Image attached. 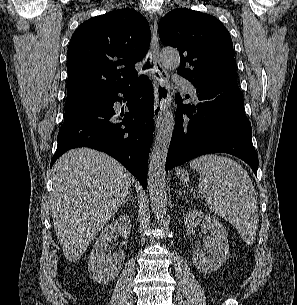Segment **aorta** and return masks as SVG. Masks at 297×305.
Segmentation results:
<instances>
[{
    "mask_svg": "<svg viewBox=\"0 0 297 305\" xmlns=\"http://www.w3.org/2000/svg\"><path fill=\"white\" fill-rule=\"evenodd\" d=\"M163 66L168 70H177L180 65L179 52L174 48H165L160 53ZM175 126V116L166 109L157 135L148 165V189L151 209L158 222L163 221L167 211V192L165 182V163L171 137Z\"/></svg>",
    "mask_w": 297,
    "mask_h": 305,
    "instance_id": "aorta-1",
    "label": "aorta"
}]
</instances>
